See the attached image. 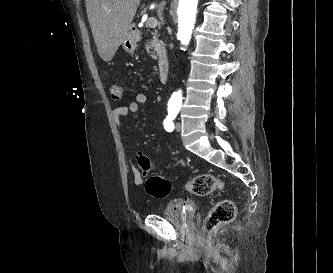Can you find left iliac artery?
I'll return each mask as SVG.
<instances>
[{
	"mask_svg": "<svg viewBox=\"0 0 333 273\" xmlns=\"http://www.w3.org/2000/svg\"><path fill=\"white\" fill-rule=\"evenodd\" d=\"M178 111L175 109H168L166 119L163 121L164 128L167 132H172L174 129L173 120L176 118Z\"/></svg>",
	"mask_w": 333,
	"mask_h": 273,
	"instance_id": "1",
	"label": "left iliac artery"
}]
</instances>
